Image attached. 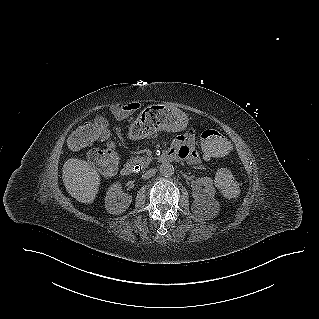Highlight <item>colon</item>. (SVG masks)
Listing matches in <instances>:
<instances>
[{
    "mask_svg": "<svg viewBox=\"0 0 319 319\" xmlns=\"http://www.w3.org/2000/svg\"><path fill=\"white\" fill-rule=\"evenodd\" d=\"M95 139H108V130L105 123L96 121L79 127L70 136L68 146L73 150L82 149ZM201 142L205 152L215 162H226L233 155V142L226 133L213 129L205 130L201 134ZM89 160L107 175L112 174L118 164L117 154L110 141H107L103 148L92 150L89 154ZM217 181L226 197L231 198L238 194L237 182L228 170L221 169L217 173Z\"/></svg>",
    "mask_w": 319,
    "mask_h": 319,
    "instance_id": "1",
    "label": "colon"
}]
</instances>
